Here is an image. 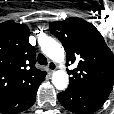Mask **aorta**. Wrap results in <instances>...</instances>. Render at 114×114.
<instances>
[{"label": "aorta", "instance_id": "obj_1", "mask_svg": "<svg viewBox=\"0 0 114 114\" xmlns=\"http://www.w3.org/2000/svg\"><path fill=\"white\" fill-rule=\"evenodd\" d=\"M40 45L42 52L51 60L58 63L64 61V49L55 39L46 37ZM52 83L58 90L66 89L69 83L67 72L64 70L55 71L52 76Z\"/></svg>", "mask_w": 114, "mask_h": 114}]
</instances>
